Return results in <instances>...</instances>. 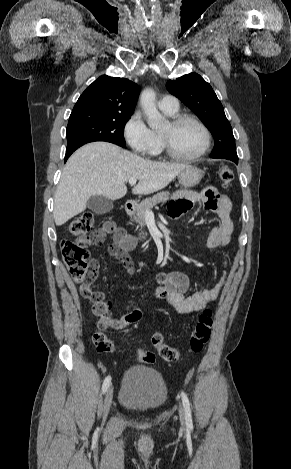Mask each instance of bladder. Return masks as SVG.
<instances>
[{"label": "bladder", "instance_id": "obj_1", "mask_svg": "<svg viewBox=\"0 0 291 469\" xmlns=\"http://www.w3.org/2000/svg\"><path fill=\"white\" fill-rule=\"evenodd\" d=\"M167 396L166 384L157 371L133 366L124 374L119 403L133 412L152 413L165 404Z\"/></svg>", "mask_w": 291, "mask_h": 469}]
</instances>
